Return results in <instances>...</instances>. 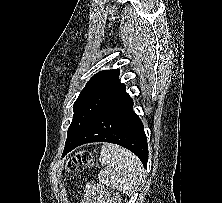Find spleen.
Instances as JSON below:
<instances>
[{
  "label": "spleen",
  "mask_w": 222,
  "mask_h": 203,
  "mask_svg": "<svg viewBox=\"0 0 222 203\" xmlns=\"http://www.w3.org/2000/svg\"><path fill=\"white\" fill-rule=\"evenodd\" d=\"M99 161L105 166L98 174L102 183L128 195L141 186L144 168L139 158L129 150L115 144H105Z\"/></svg>",
  "instance_id": "3e777b00"
}]
</instances>
